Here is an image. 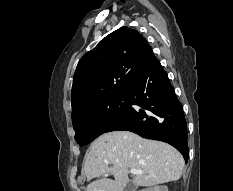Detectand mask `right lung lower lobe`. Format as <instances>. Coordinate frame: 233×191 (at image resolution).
Returning a JSON list of instances; mask_svg holds the SVG:
<instances>
[{
	"mask_svg": "<svg viewBox=\"0 0 233 191\" xmlns=\"http://www.w3.org/2000/svg\"><path fill=\"white\" fill-rule=\"evenodd\" d=\"M128 108L104 133L134 132L144 138L169 143L188 161L187 127L183 107L175 95L167 73L153 55L145 70L127 92ZM131 105L140 106L134 109Z\"/></svg>",
	"mask_w": 233,
	"mask_h": 191,
	"instance_id": "obj_1",
	"label": "right lung lower lobe"
}]
</instances>
